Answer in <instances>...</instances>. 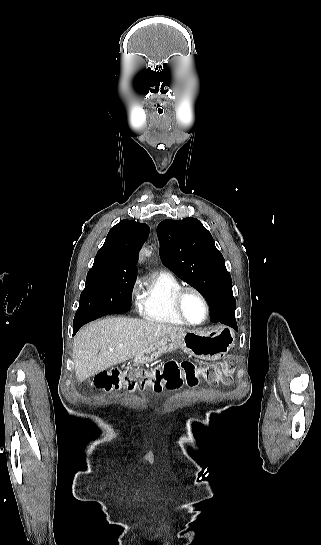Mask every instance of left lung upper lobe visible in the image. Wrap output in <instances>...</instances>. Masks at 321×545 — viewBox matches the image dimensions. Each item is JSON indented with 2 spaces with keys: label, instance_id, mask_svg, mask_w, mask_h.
Instances as JSON below:
<instances>
[{
  "label": "left lung upper lobe",
  "instance_id": "left-lung-upper-lobe-1",
  "mask_svg": "<svg viewBox=\"0 0 321 545\" xmlns=\"http://www.w3.org/2000/svg\"><path fill=\"white\" fill-rule=\"evenodd\" d=\"M163 264L197 289L215 313H235L232 280L210 232L196 218L167 219L157 228Z\"/></svg>",
  "mask_w": 321,
  "mask_h": 545
}]
</instances>
